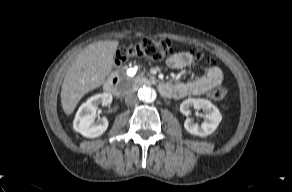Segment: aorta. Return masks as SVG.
<instances>
[{"label":"aorta","mask_w":292,"mask_h":192,"mask_svg":"<svg viewBox=\"0 0 292 192\" xmlns=\"http://www.w3.org/2000/svg\"><path fill=\"white\" fill-rule=\"evenodd\" d=\"M156 91L154 88L145 85L138 90V97L142 102L150 103L156 99Z\"/></svg>","instance_id":"762f6f07"}]
</instances>
